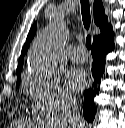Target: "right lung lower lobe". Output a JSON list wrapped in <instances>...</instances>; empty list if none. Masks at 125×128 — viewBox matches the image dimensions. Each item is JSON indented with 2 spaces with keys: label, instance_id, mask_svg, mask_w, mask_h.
Instances as JSON below:
<instances>
[{
  "label": "right lung lower lobe",
  "instance_id": "98d812e1",
  "mask_svg": "<svg viewBox=\"0 0 125 128\" xmlns=\"http://www.w3.org/2000/svg\"><path fill=\"white\" fill-rule=\"evenodd\" d=\"M113 30L110 27L93 40L92 75L94 83L91 88L84 92V112L83 115L87 121H93L96 113L94 107V97L98 94V84L103 76L105 67V56L114 49Z\"/></svg>",
  "mask_w": 125,
  "mask_h": 128
}]
</instances>
